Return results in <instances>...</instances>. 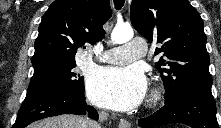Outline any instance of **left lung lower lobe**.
<instances>
[{
	"label": "left lung lower lobe",
	"instance_id": "left-lung-lower-lobe-1",
	"mask_svg": "<svg viewBox=\"0 0 221 128\" xmlns=\"http://www.w3.org/2000/svg\"><path fill=\"white\" fill-rule=\"evenodd\" d=\"M171 123H184L193 128H219L211 91H188L174 101L165 103L149 117L138 120L139 126L144 128Z\"/></svg>",
	"mask_w": 221,
	"mask_h": 128
}]
</instances>
